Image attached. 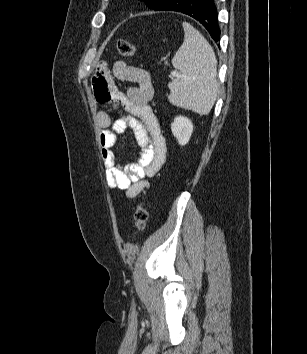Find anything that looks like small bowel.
I'll use <instances>...</instances> for the list:
<instances>
[{"label": "small bowel", "instance_id": "obj_1", "mask_svg": "<svg viewBox=\"0 0 307 354\" xmlns=\"http://www.w3.org/2000/svg\"><path fill=\"white\" fill-rule=\"evenodd\" d=\"M112 72L115 79L132 82L136 86L121 91L113 82L105 63L98 66L94 75L93 88L97 102H111L114 109L121 107L124 110L123 115L115 120L105 110L97 113L105 179L109 187L125 190L128 198H134L149 186L146 178L153 177L164 165L166 140L149 105L154 93L149 73L122 61L113 65ZM127 130L134 134L138 154L132 163L123 168L117 162L114 146L117 135Z\"/></svg>", "mask_w": 307, "mask_h": 354}]
</instances>
